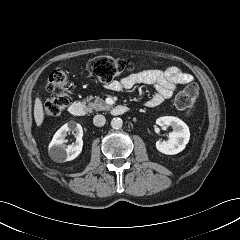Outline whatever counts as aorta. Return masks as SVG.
<instances>
[{"label":"aorta","mask_w":240,"mask_h":240,"mask_svg":"<svg viewBox=\"0 0 240 240\" xmlns=\"http://www.w3.org/2000/svg\"><path fill=\"white\" fill-rule=\"evenodd\" d=\"M123 125V121L121 118H113L111 120V127L113 129H120Z\"/></svg>","instance_id":"1"}]
</instances>
